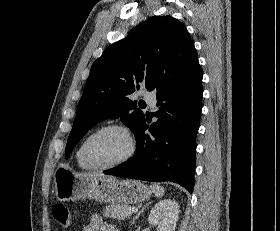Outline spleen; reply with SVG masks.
<instances>
[{"label":"spleen","mask_w":280,"mask_h":231,"mask_svg":"<svg viewBox=\"0 0 280 231\" xmlns=\"http://www.w3.org/2000/svg\"><path fill=\"white\" fill-rule=\"evenodd\" d=\"M151 187L153 193H155L157 197H163L165 189L162 187V185H158V183H152Z\"/></svg>","instance_id":"1"}]
</instances>
